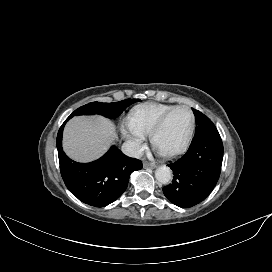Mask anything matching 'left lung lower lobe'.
I'll use <instances>...</instances> for the list:
<instances>
[{"label": "left lung lower lobe", "instance_id": "1", "mask_svg": "<svg viewBox=\"0 0 272 272\" xmlns=\"http://www.w3.org/2000/svg\"><path fill=\"white\" fill-rule=\"evenodd\" d=\"M222 159L223 144L218 130L193 139L188 151L168 164L174 178L171 184L163 188L164 195L182 208L202 202L219 179Z\"/></svg>", "mask_w": 272, "mask_h": 272}]
</instances>
